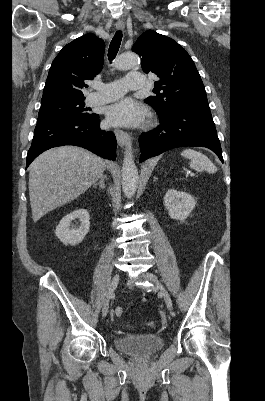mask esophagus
<instances>
[{
	"label": "esophagus",
	"mask_w": 265,
	"mask_h": 401,
	"mask_svg": "<svg viewBox=\"0 0 265 401\" xmlns=\"http://www.w3.org/2000/svg\"><path fill=\"white\" fill-rule=\"evenodd\" d=\"M124 26H125V24H124V22L122 20H118L116 22L117 30H123ZM114 132H115V135H116V139H117L118 145L124 147L127 144L128 139H129L128 134L125 131H123V130H121L119 128H116L114 130Z\"/></svg>",
	"instance_id": "obj_1"
}]
</instances>
